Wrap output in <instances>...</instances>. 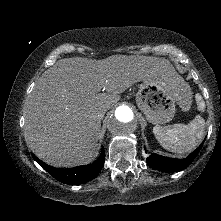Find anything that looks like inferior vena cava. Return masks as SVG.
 I'll use <instances>...</instances> for the list:
<instances>
[{
    "label": "inferior vena cava",
    "mask_w": 221,
    "mask_h": 221,
    "mask_svg": "<svg viewBox=\"0 0 221 221\" xmlns=\"http://www.w3.org/2000/svg\"><path fill=\"white\" fill-rule=\"evenodd\" d=\"M106 109H102V110H100L98 113H97V118L98 119H102L103 117H104V115H105V113H106Z\"/></svg>",
    "instance_id": "602c4592"
}]
</instances>
